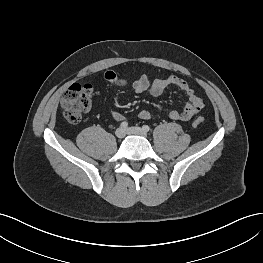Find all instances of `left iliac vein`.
Returning a JSON list of instances; mask_svg holds the SVG:
<instances>
[{"label": "left iliac vein", "mask_w": 263, "mask_h": 263, "mask_svg": "<svg viewBox=\"0 0 263 263\" xmlns=\"http://www.w3.org/2000/svg\"><path fill=\"white\" fill-rule=\"evenodd\" d=\"M128 133L134 134V135H139V136H142V137H146L147 136V133L140 127H130L128 129Z\"/></svg>", "instance_id": "left-iliac-vein-1"}]
</instances>
